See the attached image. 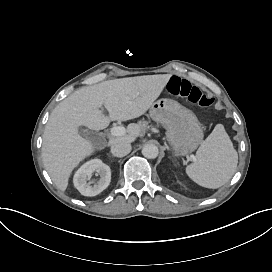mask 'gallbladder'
<instances>
[{"label": "gallbladder", "mask_w": 272, "mask_h": 272, "mask_svg": "<svg viewBox=\"0 0 272 272\" xmlns=\"http://www.w3.org/2000/svg\"><path fill=\"white\" fill-rule=\"evenodd\" d=\"M81 135H83L87 140L94 142L98 139V135L94 131L82 130Z\"/></svg>", "instance_id": "1"}]
</instances>
